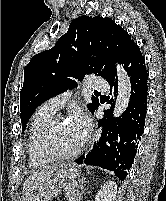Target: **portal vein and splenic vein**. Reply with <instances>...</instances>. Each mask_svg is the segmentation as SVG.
<instances>
[{"label":"portal vein and splenic vein","instance_id":"portal-vein-and-splenic-vein-1","mask_svg":"<svg viewBox=\"0 0 166 201\" xmlns=\"http://www.w3.org/2000/svg\"><path fill=\"white\" fill-rule=\"evenodd\" d=\"M71 190V187H65V191L68 192Z\"/></svg>","mask_w":166,"mask_h":201}]
</instances>
